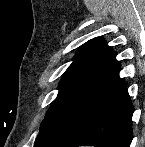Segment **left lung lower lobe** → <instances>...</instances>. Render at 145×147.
I'll list each match as a JSON object with an SVG mask.
<instances>
[{"label":"left lung lower lobe","instance_id":"left-lung-lower-lobe-1","mask_svg":"<svg viewBox=\"0 0 145 147\" xmlns=\"http://www.w3.org/2000/svg\"><path fill=\"white\" fill-rule=\"evenodd\" d=\"M119 67L111 53L66 130L44 147L130 146L134 108L126 84L119 78Z\"/></svg>","mask_w":145,"mask_h":147}]
</instances>
